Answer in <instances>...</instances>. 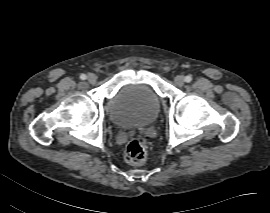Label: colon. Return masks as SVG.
<instances>
[{
	"label": "colon",
	"instance_id": "obj_1",
	"mask_svg": "<svg viewBox=\"0 0 270 213\" xmlns=\"http://www.w3.org/2000/svg\"><path fill=\"white\" fill-rule=\"evenodd\" d=\"M148 142L142 136L132 138L124 150V160L131 165H140L146 160Z\"/></svg>",
	"mask_w": 270,
	"mask_h": 213
}]
</instances>
